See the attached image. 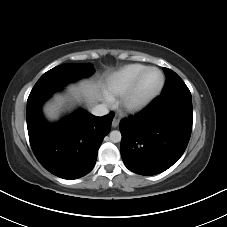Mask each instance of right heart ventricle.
Here are the masks:
<instances>
[{
	"instance_id": "1",
	"label": "right heart ventricle",
	"mask_w": 227,
	"mask_h": 227,
	"mask_svg": "<svg viewBox=\"0 0 227 227\" xmlns=\"http://www.w3.org/2000/svg\"><path fill=\"white\" fill-rule=\"evenodd\" d=\"M147 66L139 63L125 65L110 73L105 79V93L110 98L123 96L134 83L139 73Z\"/></svg>"
}]
</instances>
